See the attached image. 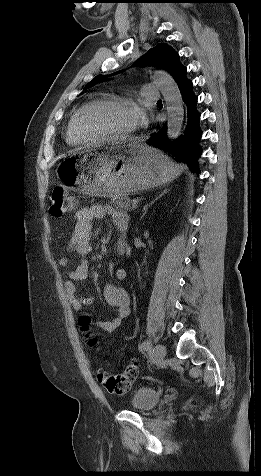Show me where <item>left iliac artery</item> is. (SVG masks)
Listing matches in <instances>:
<instances>
[{
	"mask_svg": "<svg viewBox=\"0 0 261 476\" xmlns=\"http://www.w3.org/2000/svg\"><path fill=\"white\" fill-rule=\"evenodd\" d=\"M151 345V341L150 340H145L144 342H142L140 345H139V350H146L150 347Z\"/></svg>",
	"mask_w": 261,
	"mask_h": 476,
	"instance_id": "44dca946",
	"label": "left iliac artery"
}]
</instances>
